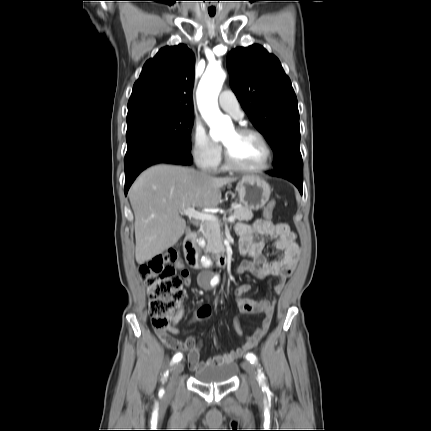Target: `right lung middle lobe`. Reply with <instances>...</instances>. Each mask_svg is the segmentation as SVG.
I'll return each instance as SVG.
<instances>
[{"instance_id": "dd1d6c3e", "label": "right lung middle lobe", "mask_w": 431, "mask_h": 431, "mask_svg": "<svg viewBox=\"0 0 431 431\" xmlns=\"http://www.w3.org/2000/svg\"><path fill=\"white\" fill-rule=\"evenodd\" d=\"M193 121L192 113L172 112H152L127 118V146L148 138H162L190 151Z\"/></svg>"}]
</instances>
